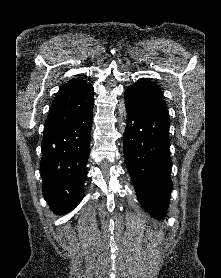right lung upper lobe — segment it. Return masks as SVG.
Returning a JSON list of instances; mask_svg holds the SVG:
<instances>
[{"mask_svg":"<svg viewBox=\"0 0 221 278\" xmlns=\"http://www.w3.org/2000/svg\"><path fill=\"white\" fill-rule=\"evenodd\" d=\"M92 106V85L81 79L68 81L60 88L52 104L43 138L82 117Z\"/></svg>","mask_w":221,"mask_h":278,"instance_id":"cb5924a9","label":"right lung upper lobe"}]
</instances>
